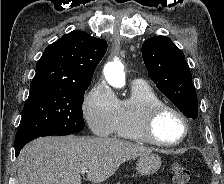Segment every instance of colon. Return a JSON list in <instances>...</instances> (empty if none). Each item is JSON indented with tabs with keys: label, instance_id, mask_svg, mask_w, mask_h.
I'll use <instances>...</instances> for the list:
<instances>
[{
	"label": "colon",
	"instance_id": "colon-1",
	"mask_svg": "<svg viewBox=\"0 0 224 184\" xmlns=\"http://www.w3.org/2000/svg\"><path fill=\"white\" fill-rule=\"evenodd\" d=\"M172 177L174 184H192L190 169L178 162L172 165Z\"/></svg>",
	"mask_w": 224,
	"mask_h": 184
}]
</instances>
